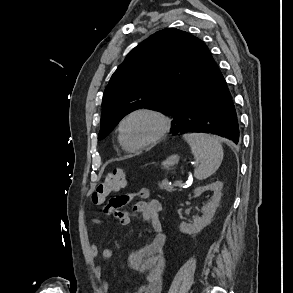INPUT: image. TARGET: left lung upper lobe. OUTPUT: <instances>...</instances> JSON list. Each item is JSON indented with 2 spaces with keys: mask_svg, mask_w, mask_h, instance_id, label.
<instances>
[{
  "mask_svg": "<svg viewBox=\"0 0 293 293\" xmlns=\"http://www.w3.org/2000/svg\"><path fill=\"white\" fill-rule=\"evenodd\" d=\"M213 58L203 41L167 28L135 47L112 75L102 101L104 139L128 113L140 108L161 109L173 117L174 126L184 102L206 81Z\"/></svg>",
  "mask_w": 293,
  "mask_h": 293,
  "instance_id": "1",
  "label": "left lung upper lobe"
}]
</instances>
